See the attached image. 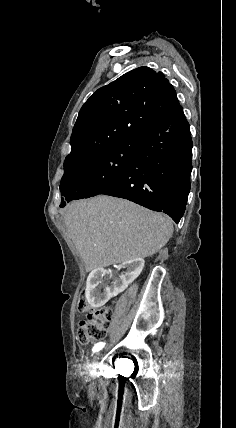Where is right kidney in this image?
I'll use <instances>...</instances> for the list:
<instances>
[{"instance_id": "ca27d5eb", "label": "right kidney", "mask_w": 236, "mask_h": 428, "mask_svg": "<svg viewBox=\"0 0 236 428\" xmlns=\"http://www.w3.org/2000/svg\"><path fill=\"white\" fill-rule=\"evenodd\" d=\"M144 264L143 258H132L128 262H123L120 268H126V270L120 271V276L116 283H97L96 278H105L107 271L100 268L91 269L86 286V300L88 304L95 306V308H100V306L106 304L113 296H117V294L126 290L128 284H132L140 276ZM93 290L96 292H93ZM91 292H93L92 296Z\"/></svg>"}]
</instances>
